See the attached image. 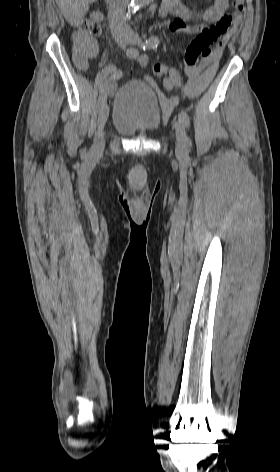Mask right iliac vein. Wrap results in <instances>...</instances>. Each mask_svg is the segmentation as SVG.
Listing matches in <instances>:
<instances>
[{"instance_id": "1", "label": "right iliac vein", "mask_w": 280, "mask_h": 472, "mask_svg": "<svg viewBox=\"0 0 280 472\" xmlns=\"http://www.w3.org/2000/svg\"><path fill=\"white\" fill-rule=\"evenodd\" d=\"M119 44L122 47H125L128 44V38L127 37H121L118 40ZM109 115V107L105 103L99 110V116H98V130L95 135L94 143L91 147V156L93 157H98L102 154L104 146H105V140H104V126L106 124V121L108 119Z\"/></svg>"}]
</instances>
